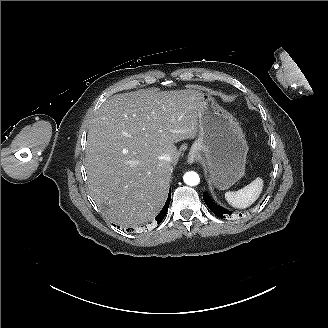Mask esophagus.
Here are the masks:
<instances>
[{
	"instance_id": "obj_1",
	"label": "esophagus",
	"mask_w": 328,
	"mask_h": 328,
	"mask_svg": "<svg viewBox=\"0 0 328 328\" xmlns=\"http://www.w3.org/2000/svg\"><path fill=\"white\" fill-rule=\"evenodd\" d=\"M197 160V155L195 153H189L188 158H187V162L189 164L194 163Z\"/></svg>"
}]
</instances>
